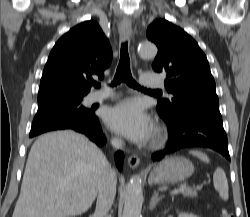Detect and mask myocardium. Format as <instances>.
I'll use <instances>...</instances> for the list:
<instances>
[{"instance_id":"1","label":"myocardium","mask_w":250,"mask_h":217,"mask_svg":"<svg viewBox=\"0 0 250 217\" xmlns=\"http://www.w3.org/2000/svg\"><path fill=\"white\" fill-rule=\"evenodd\" d=\"M164 139H165V135H164L163 130L161 128H158L156 130V134H155V137L153 139L152 146L153 147L160 146L163 143Z\"/></svg>"}]
</instances>
